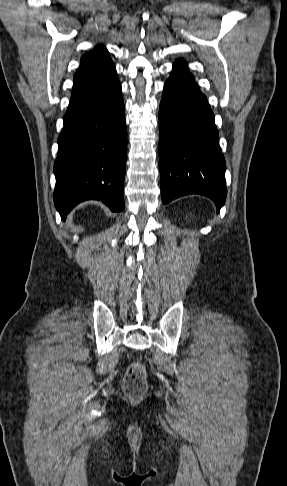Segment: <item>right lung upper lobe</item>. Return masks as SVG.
<instances>
[{"label":"right lung upper lobe","mask_w":287,"mask_h":486,"mask_svg":"<svg viewBox=\"0 0 287 486\" xmlns=\"http://www.w3.org/2000/svg\"><path fill=\"white\" fill-rule=\"evenodd\" d=\"M117 77L116 68L109 52L102 45L81 58L80 68L74 75L72 94L112 81Z\"/></svg>","instance_id":"right-lung-upper-lobe-1"}]
</instances>
